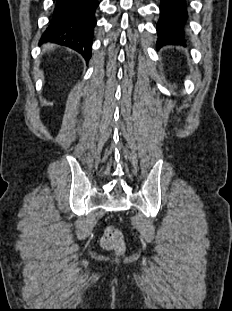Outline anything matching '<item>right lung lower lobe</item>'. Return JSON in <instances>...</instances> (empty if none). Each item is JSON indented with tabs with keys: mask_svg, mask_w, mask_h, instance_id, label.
I'll return each mask as SVG.
<instances>
[{
	"mask_svg": "<svg viewBox=\"0 0 232 311\" xmlns=\"http://www.w3.org/2000/svg\"><path fill=\"white\" fill-rule=\"evenodd\" d=\"M98 6V0H56L51 23L40 43L67 46L89 60Z\"/></svg>",
	"mask_w": 232,
	"mask_h": 311,
	"instance_id": "right-lung-lower-lobe-1",
	"label": "right lung lower lobe"
}]
</instances>
